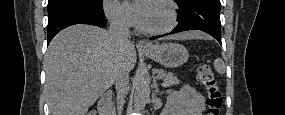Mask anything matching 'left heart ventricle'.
<instances>
[{"mask_svg":"<svg viewBox=\"0 0 285 115\" xmlns=\"http://www.w3.org/2000/svg\"><path fill=\"white\" fill-rule=\"evenodd\" d=\"M168 7L160 2H151L148 6L146 21L142 24L148 29H161L169 25Z\"/></svg>","mask_w":285,"mask_h":115,"instance_id":"b2bd125f","label":"left heart ventricle"}]
</instances>
